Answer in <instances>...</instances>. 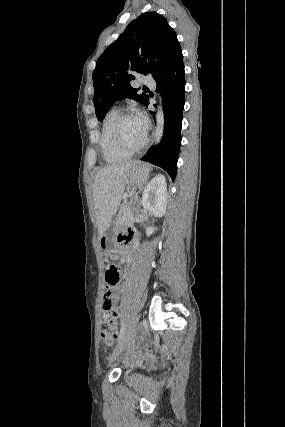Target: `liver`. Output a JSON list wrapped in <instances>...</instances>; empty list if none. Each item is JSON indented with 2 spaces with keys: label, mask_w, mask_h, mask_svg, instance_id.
<instances>
[{
  "label": "liver",
  "mask_w": 285,
  "mask_h": 427,
  "mask_svg": "<svg viewBox=\"0 0 285 427\" xmlns=\"http://www.w3.org/2000/svg\"><path fill=\"white\" fill-rule=\"evenodd\" d=\"M137 162L108 165L100 169L93 184V204L99 238L104 234L118 210L130 169Z\"/></svg>",
  "instance_id": "liver-1"
}]
</instances>
